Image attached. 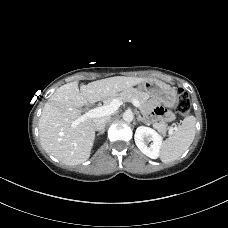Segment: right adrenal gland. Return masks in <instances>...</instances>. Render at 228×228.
I'll return each instance as SVG.
<instances>
[{"label":"right adrenal gland","instance_id":"1","mask_svg":"<svg viewBox=\"0 0 228 228\" xmlns=\"http://www.w3.org/2000/svg\"><path fill=\"white\" fill-rule=\"evenodd\" d=\"M104 132H105V129L102 130V131H100V132L97 134V136H99V135H101V134H104Z\"/></svg>","mask_w":228,"mask_h":228}]
</instances>
